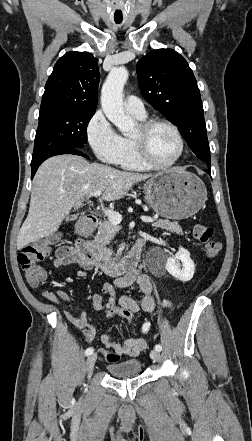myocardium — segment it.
<instances>
[{
  "label": "myocardium",
  "instance_id": "f54148a6",
  "mask_svg": "<svg viewBox=\"0 0 252 441\" xmlns=\"http://www.w3.org/2000/svg\"><path fill=\"white\" fill-rule=\"evenodd\" d=\"M157 126H166L170 128L175 134L178 143L179 151L177 155L167 163H156L150 156L146 139L149 133ZM132 141L134 143L136 153L139 159L149 168L154 170L167 169L174 166L183 156L185 152V141L178 129V127L172 122L164 119H150L143 121L139 124V134L137 136H132Z\"/></svg>",
  "mask_w": 252,
  "mask_h": 441
}]
</instances>
